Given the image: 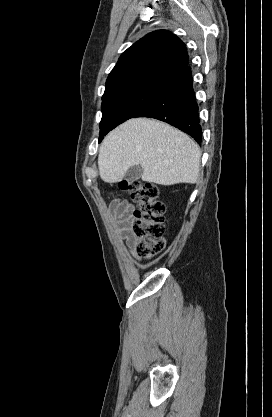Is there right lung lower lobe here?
Listing matches in <instances>:
<instances>
[{"label": "right lung lower lobe", "instance_id": "98d812e1", "mask_svg": "<svg viewBox=\"0 0 272 417\" xmlns=\"http://www.w3.org/2000/svg\"><path fill=\"white\" fill-rule=\"evenodd\" d=\"M134 117L162 120L201 143L202 129L192 86L191 68L186 66L167 80L151 101Z\"/></svg>", "mask_w": 272, "mask_h": 417}]
</instances>
